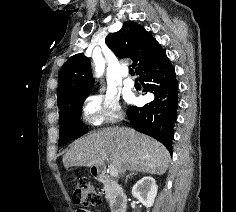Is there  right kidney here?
I'll use <instances>...</instances> for the list:
<instances>
[{
  "mask_svg": "<svg viewBox=\"0 0 236 212\" xmlns=\"http://www.w3.org/2000/svg\"><path fill=\"white\" fill-rule=\"evenodd\" d=\"M157 190L158 186L156 185L155 179L150 176H145L133 186L132 195L149 209L154 203Z\"/></svg>",
  "mask_w": 236,
  "mask_h": 212,
  "instance_id": "ca27d5eb",
  "label": "right kidney"
}]
</instances>
